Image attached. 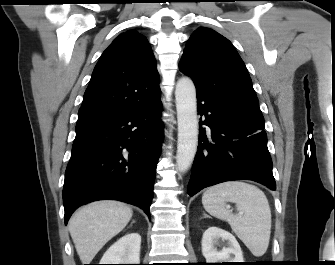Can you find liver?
I'll return each mask as SVG.
<instances>
[{
	"label": "liver",
	"mask_w": 335,
	"mask_h": 265,
	"mask_svg": "<svg viewBox=\"0 0 335 265\" xmlns=\"http://www.w3.org/2000/svg\"><path fill=\"white\" fill-rule=\"evenodd\" d=\"M133 215L126 204L114 200L92 202L70 219L68 229L82 264H90L99 250L125 228Z\"/></svg>",
	"instance_id": "obj_1"
}]
</instances>
